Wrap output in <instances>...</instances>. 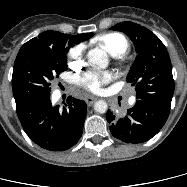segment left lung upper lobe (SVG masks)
<instances>
[{"mask_svg":"<svg viewBox=\"0 0 187 187\" xmlns=\"http://www.w3.org/2000/svg\"><path fill=\"white\" fill-rule=\"evenodd\" d=\"M111 29L124 32L135 45L137 57L126 81L135 86L136 98L170 109L175 86L164 44L150 30L133 22L119 23Z\"/></svg>","mask_w":187,"mask_h":187,"instance_id":"left-lung-upper-lobe-1","label":"left lung upper lobe"}]
</instances>
